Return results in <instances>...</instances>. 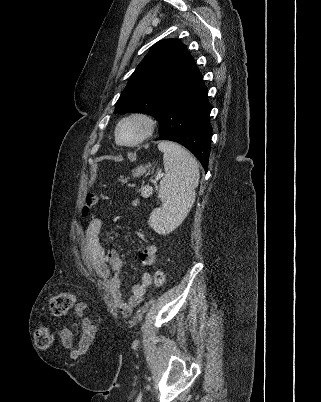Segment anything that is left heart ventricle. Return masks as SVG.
Returning <instances> with one entry per match:
<instances>
[{
	"label": "left heart ventricle",
	"mask_w": 321,
	"mask_h": 402,
	"mask_svg": "<svg viewBox=\"0 0 321 402\" xmlns=\"http://www.w3.org/2000/svg\"><path fill=\"white\" fill-rule=\"evenodd\" d=\"M142 132V125L138 122H129L120 128V139L123 142L135 140Z\"/></svg>",
	"instance_id": "left-heart-ventricle-1"
}]
</instances>
